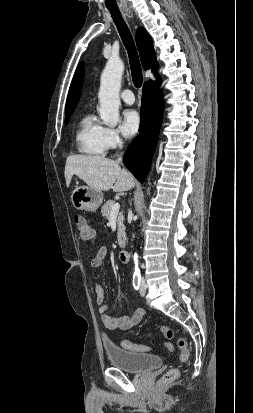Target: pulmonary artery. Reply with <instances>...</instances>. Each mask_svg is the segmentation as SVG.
<instances>
[{
  "label": "pulmonary artery",
  "mask_w": 253,
  "mask_h": 413,
  "mask_svg": "<svg viewBox=\"0 0 253 413\" xmlns=\"http://www.w3.org/2000/svg\"><path fill=\"white\" fill-rule=\"evenodd\" d=\"M121 98L126 104H129V105L133 104L135 101L134 94L129 89L122 91Z\"/></svg>",
  "instance_id": "obj_1"
}]
</instances>
